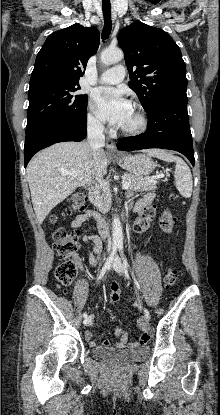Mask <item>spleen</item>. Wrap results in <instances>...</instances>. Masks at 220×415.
I'll list each match as a JSON object with an SVG mask.
<instances>
[{
    "label": "spleen",
    "instance_id": "spleen-1",
    "mask_svg": "<svg viewBox=\"0 0 220 415\" xmlns=\"http://www.w3.org/2000/svg\"><path fill=\"white\" fill-rule=\"evenodd\" d=\"M147 154L152 157H156L166 162H174L175 163V185L180 194L185 197L189 198L192 195V175L188 165L178 156L173 155L168 151H164L161 149H152L148 150Z\"/></svg>",
    "mask_w": 220,
    "mask_h": 415
}]
</instances>
